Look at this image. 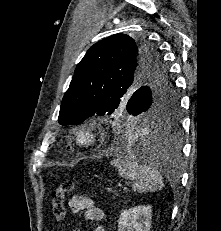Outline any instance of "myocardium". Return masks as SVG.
<instances>
[{
	"label": "myocardium",
	"instance_id": "obj_1",
	"mask_svg": "<svg viewBox=\"0 0 221 231\" xmlns=\"http://www.w3.org/2000/svg\"><path fill=\"white\" fill-rule=\"evenodd\" d=\"M99 141L97 129L90 124L81 125L75 135L76 145L82 149L94 148Z\"/></svg>",
	"mask_w": 221,
	"mask_h": 231
}]
</instances>
